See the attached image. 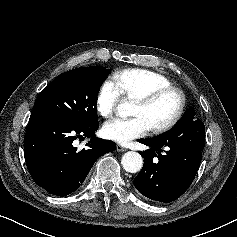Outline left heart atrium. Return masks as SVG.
<instances>
[{
    "label": "left heart atrium",
    "mask_w": 237,
    "mask_h": 237,
    "mask_svg": "<svg viewBox=\"0 0 237 237\" xmlns=\"http://www.w3.org/2000/svg\"><path fill=\"white\" fill-rule=\"evenodd\" d=\"M150 130L146 121L140 117L117 118L107 122L103 127L104 136L120 144L142 137Z\"/></svg>",
    "instance_id": "39dd6f15"
}]
</instances>
